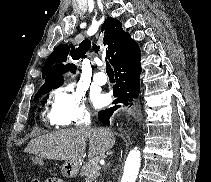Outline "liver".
Listing matches in <instances>:
<instances>
[{
  "instance_id": "6515ba94",
  "label": "liver",
  "mask_w": 211,
  "mask_h": 182,
  "mask_svg": "<svg viewBox=\"0 0 211 182\" xmlns=\"http://www.w3.org/2000/svg\"><path fill=\"white\" fill-rule=\"evenodd\" d=\"M87 140L90 157L105 153L115 143L109 129L80 127L37 137L28 143L25 152L50 160L78 161L85 154Z\"/></svg>"
}]
</instances>
